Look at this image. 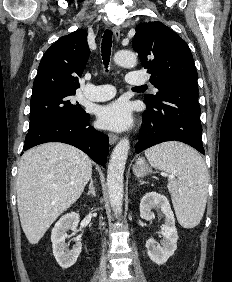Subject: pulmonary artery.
<instances>
[{"label":"pulmonary artery","mask_w":232,"mask_h":282,"mask_svg":"<svg viewBox=\"0 0 232 282\" xmlns=\"http://www.w3.org/2000/svg\"><path fill=\"white\" fill-rule=\"evenodd\" d=\"M126 82L131 86H140L147 82V78L140 72H129ZM115 89L112 85L89 84L85 89V97L91 101H106L114 97Z\"/></svg>","instance_id":"1"}]
</instances>
